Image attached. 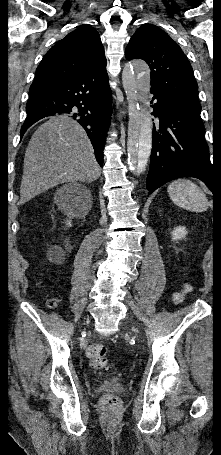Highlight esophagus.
Wrapping results in <instances>:
<instances>
[{
    "label": "esophagus",
    "instance_id": "34e87169",
    "mask_svg": "<svg viewBox=\"0 0 221 455\" xmlns=\"http://www.w3.org/2000/svg\"><path fill=\"white\" fill-rule=\"evenodd\" d=\"M126 114L125 110H119V117L124 116Z\"/></svg>",
    "mask_w": 221,
    "mask_h": 455
}]
</instances>
